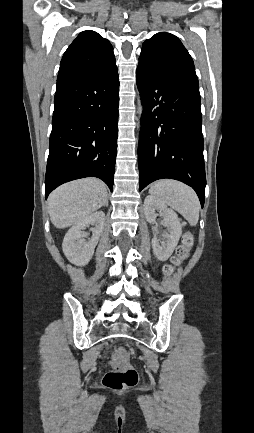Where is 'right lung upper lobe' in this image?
Segmentation results:
<instances>
[{"label":"right lung upper lobe","instance_id":"cb5924a9","mask_svg":"<svg viewBox=\"0 0 254 433\" xmlns=\"http://www.w3.org/2000/svg\"><path fill=\"white\" fill-rule=\"evenodd\" d=\"M115 66L111 43L94 31H83L64 53L57 81L100 74Z\"/></svg>","mask_w":254,"mask_h":433}]
</instances>
